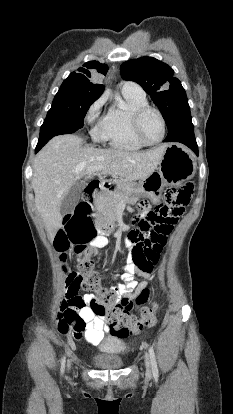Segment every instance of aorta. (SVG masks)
I'll list each match as a JSON object with an SVG mask.
<instances>
[{
  "mask_svg": "<svg viewBox=\"0 0 233 414\" xmlns=\"http://www.w3.org/2000/svg\"><path fill=\"white\" fill-rule=\"evenodd\" d=\"M115 99H116V101H117L119 104H122V103H123V101H122V99H121L120 97H115Z\"/></svg>",
  "mask_w": 233,
  "mask_h": 414,
  "instance_id": "1",
  "label": "aorta"
}]
</instances>
